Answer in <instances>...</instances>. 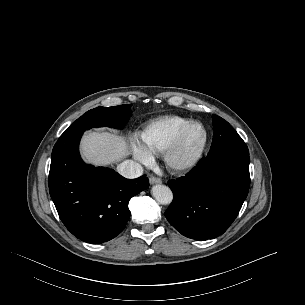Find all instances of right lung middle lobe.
Segmentation results:
<instances>
[{
    "instance_id": "obj_1",
    "label": "right lung middle lobe",
    "mask_w": 305,
    "mask_h": 305,
    "mask_svg": "<svg viewBox=\"0 0 305 305\" xmlns=\"http://www.w3.org/2000/svg\"><path fill=\"white\" fill-rule=\"evenodd\" d=\"M131 115V107L128 104L108 108H94L72 123L58 140H66L75 135L82 134L91 127L108 126L121 128Z\"/></svg>"
}]
</instances>
